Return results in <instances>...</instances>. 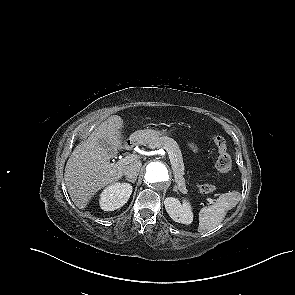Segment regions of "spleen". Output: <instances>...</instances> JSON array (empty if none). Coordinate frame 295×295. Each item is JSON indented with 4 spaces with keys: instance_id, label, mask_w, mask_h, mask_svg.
<instances>
[{
    "instance_id": "1",
    "label": "spleen",
    "mask_w": 295,
    "mask_h": 295,
    "mask_svg": "<svg viewBox=\"0 0 295 295\" xmlns=\"http://www.w3.org/2000/svg\"><path fill=\"white\" fill-rule=\"evenodd\" d=\"M241 195L237 191L221 194L216 202L203 207L199 212V232H205L218 226L225 218L226 213L240 201Z\"/></svg>"
}]
</instances>
